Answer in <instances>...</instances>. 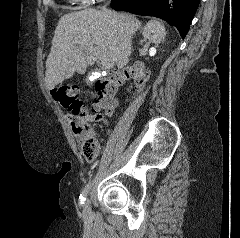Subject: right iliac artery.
Wrapping results in <instances>:
<instances>
[{
  "mask_svg": "<svg viewBox=\"0 0 240 238\" xmlns=\"http://www.w3.org/2000/svg\"><path fill=\"white\" fill-rule=\"evenodd\" d=\"M90 187H91V183L89 182L86 186H85V188L83 189V191H82V194L80 195V200H79V203H80V205H84V203H85V200H86V197H87V194H88V192H89V190H90Z\"/></svg>",
  "mask_w": 240,
  "mask_h": 238,
  "instance_id": "1",
  "label": "right iliac artery"
}]
</instances>
